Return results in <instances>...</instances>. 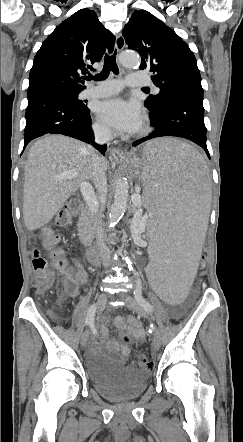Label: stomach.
I'll return each mask as SVG.
<instances>
[{
	"mask_svg": "<svg viewBox=\"0 0 243 442\" xmlns=\"http://www.w3.org/2000/svg\"><path fill=\"white\" fill-rule=\"evenodd\" d=\"M131 176L136 177L137 165H140V160L138 157H128L126 160Z\"/></svg>",
	"mask_w": 243,
	"mask_h": 442,
	"instance_id": "0dacf381",
	"label": "stomach"
}]
</instances>
